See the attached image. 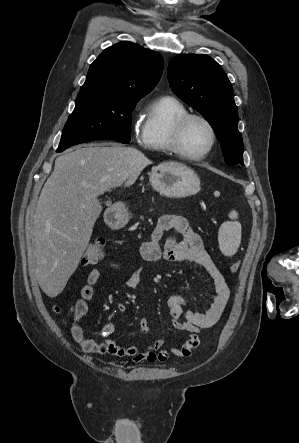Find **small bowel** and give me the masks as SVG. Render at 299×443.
Masks as SVG:
<instances>
[{
	"instance_id": "obj_1",
	"label": "small bowel",
	"mask_w": 299,
	"mask_h": 443,
	"mask_svg": "<svg viewBox=\"0 0 299 443\" xmlns=\"http://www.w3.org/2000/svg\"><path fill=\"white\" fill-rule=\"evenodd\" d=\"M170 231L179 234L182 240L177 242L172 234H168L164 238L165 234ZM140 253L143 259L149 263H156L161 259L175 262H195L201 265L210 276L215 297L205 313L187 310L190 300L181 294L172 295L167 301L173 328L189 334L186 342L180 348L171 349H165L164 342L160 339L151 340L145 347L118 345L109 338L115 330L112 322H107L102 326L103 340L101 342L87 338L79 321L87 313V302L93 297L94 286L100 278L101 272L98 268L89 272L86 283L80 289L79 299L74 307V320L70 328L72 338L85 353L128 357L136 363L165 361L170 357L190 356L199 344V335L217 323L228 303L230 291L225 278L206 250L202 238L191 229L187 220L181 216H162L152 231L150 239L141 244ZM107 265L114 272L122 269L121 264L117 262H109ZM141 273L142 269H139L129 278V286L136 287L138 285ZM117 311L125 313L127 306L118 303ZM140 333L144 336L149 334L146 318L140 320Z\"/></svg>"
}]
</instances>
